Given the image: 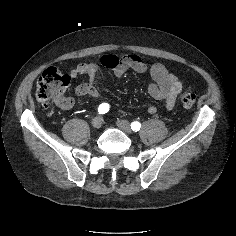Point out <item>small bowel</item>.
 Returning a JSON list of instances; mask_svg holds the SVG:
<instances>
[{
	"label": "small bowel",
	"instance_id": "obj_1",
	"mask_svg": "<svg viewBox=\"0 0 236 236\" xmlns=\"http://www.w3.org/2000/svg\"><path fill=\"white\" fill-rule=\"evenodd\" d=\"M100 63L110 69L117 78L129 70L148 75L152 80L148 86V93L155 100L163 102L168 110L174 107L177 96L184 89L183 81L169 72L163 64L154 63L149 65L135 54H128L121 57L106 55L101 58ZM98 74L99 63L94 61L80 63L72 69L70 72L71 78L77 80L83 75L87 77V82L75 88V94L77 96L98 98L100 96V92L96 87ZM57 105L62 109H70L74 105V99L71 97L63 98ZM147 111L150 114H154L157 111V107L150 105Z\"/></svg>",
	"mask_w": 236,
	"mask_h": 236
}]
</instances>
